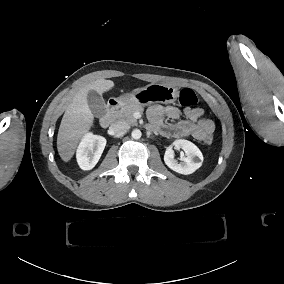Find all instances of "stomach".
<instances>
[{
	"label": "stomach",
	"instance_id": "1",
	"mask_svg": "<svg viewBox=\"0 0 284 284\" xmlns=\"http://www.w3.org/2000/svg\"><path fill=\"white\" fill-rule=\"evenodd\" d=\"M177 88L161 83H151L131 93L121 95L117 101L121 105L147 106L155 103L169 104L176 101Z\"/></svg>",
	"mask_w": 284,
	"mask_h": 284
}]
</instances>
